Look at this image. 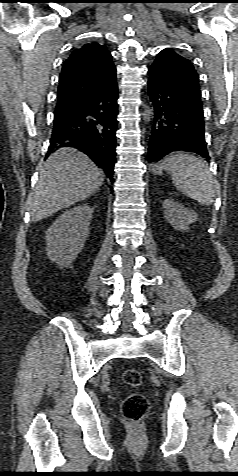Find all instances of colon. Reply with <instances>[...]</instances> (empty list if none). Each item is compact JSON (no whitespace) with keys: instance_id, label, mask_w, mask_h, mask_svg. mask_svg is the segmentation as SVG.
Listing matches in <instances>:
<instances>
[{"instance_id":"5ec220e1","label":"colon","mask_w":238,"mask_h":476,"mask_svg":"<svg viewBox=\"0 0 238 476\" xmlns=\"http://www.w3.org/2000/svg\"><path fill=\"white\" fill-rule=\"evenodd\" d=\"M123 381L132 388L139 387L142 384L141 372L137 369H127L123 373ZM149 402L147 398L140 393L130 394L122 403V414L130 422H139L147 413Z\"/></svg>"}]
</instances>
